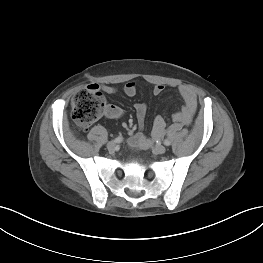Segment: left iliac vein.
<instances>
[{
	"instance_id": "obj_1",
	"label": "left iliac vein",
	"mask_w": 263,
	"mask_h": 263,
	"mask_svg": "<svg viewBox=\"0 0 263 263\" xmlns=\"http://www.w3.org/2000/svg\"><path fill=\"white\" fill-rule=\"evenodd\" d=\"M154 152L157 153V154H163L166 152V147L163 146V145H156L154 147Z\"/></svg>"
}]
</instances>
